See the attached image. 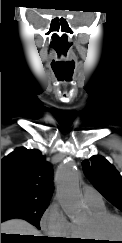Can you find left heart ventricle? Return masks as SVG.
Instances as JSON below:
<instances>
[{
    "instance_id": "b2bd125f",
    "label": "left heart ventricle",
    "mask_w": 122,
    "mask_h": 243,
    "mask_svg": "<svg viewBox=\"0 0 122 243\" xmlns=\"http://www.w3.org/2000/svg\"><path fill=\"white\" fill-rule=\"evenodd\" d=\"M101 235L106 238H122V222L118 220H110L103 227Z\"/></svg>"
}]
</instances>
